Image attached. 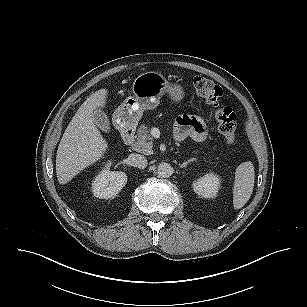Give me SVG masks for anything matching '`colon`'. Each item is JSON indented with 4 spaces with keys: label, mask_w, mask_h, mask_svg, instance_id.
Segmentation results:
<instances>
[{
    "label": "colon",
    "mask_w": 307,
    "mask_h": 307,
    "mask_svg": "<svg viewBox=\"0 0 307 307\" xmlns=\"http://www.w3.org/2000/svg\"><path fill=\"white\" fill-rule=\"evenodd\" d=\"M195 93L213 106L214 115L218 123V130L230 146H236L239 139L236 135V116L232 108L222 101V89L212 80L205 77L193 79Z\"/></svg>",
    "instance_id": "colon-1"
}]
</instances>
